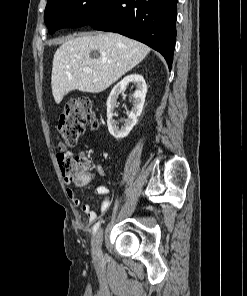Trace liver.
Returning a JSON list of instances; mask_svg holds the SVG:
<instances>
[{
    "instance_id": "liver-1",
    "label": "liver",
    "mask_w": 247,
    "mask_h": 296,
    "mask_svg": "<svg viewBox=\"0 0 247 296\" xmlns=\"http://www.w3.org/2000/svg\"><path fill=\"white\" fill-rule=\"evenodd\" d=\"M97 51L99 57L91 56ZM150 48L118 33L84 34L69 38L53 58L51 86L59 104L72 90L100 93L141 62ZM92 69L86 73L85 69Z\"/></svg>"
}]
</instances>
